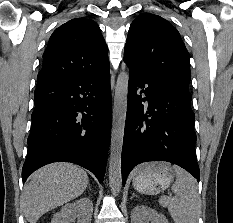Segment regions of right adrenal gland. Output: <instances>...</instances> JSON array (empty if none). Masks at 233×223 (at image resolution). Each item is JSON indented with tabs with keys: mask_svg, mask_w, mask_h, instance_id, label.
Instances as JSON below:
<instances>
[{
	"mask_svg": "<svg viewBox=\"0 0 233 223\" xmlns=\"http://www.w3.org/2000/svg\"><path fill=\"white\" fill-rule=\"evenodd\" d=\"M88 185H89V189H91V187H90V183H88Z\"/></svg>",
	"mask_w": 233,
	"mask_h": 223,
	"instance_id": "1",
	"label": "right adrenal gland"
}]
</instances>
